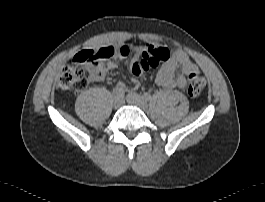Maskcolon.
I'll use <instances>...</instances> for the list:
<instances>
[{
    "label": "colon",
    "instance_id": "1",
    "mask_svg": "<svg viewBox=\"0 0 265 202\" xmlns=\"http://www.w3.org/2000/svg\"><path fill=\"white\" fill-rule=\"evenodd\" d=\"M113 56V51L108 48H90L79 51L73 60L62 70L58 84L59 87L70 91H79L87 87L85 65L96 63L101 59ZM170 58V50L167 48H155L148 46L139 59L132 65V72L140 76L151 67H156L160 62ZM205 86V79L199 73H193L188 78L187 92L191 97L201 95Z\"/></svg>",
    "mask_w": 265,
    "mask_h": 202
}]
</instances>
